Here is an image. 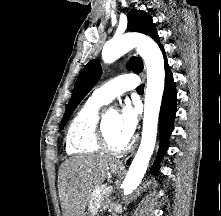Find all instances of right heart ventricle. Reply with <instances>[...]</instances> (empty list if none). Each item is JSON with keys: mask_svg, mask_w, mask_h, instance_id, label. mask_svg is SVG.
I'll return each mask as SVG.
<instances>
[{"mask_svg": "<svg viewBox=\"0 0 221 216\" xmlns=\"http://www.w3.org/2000/svg\"><path fill=\"white\" fill-rule=\"evenodd\" d=\"M103 103L90 98L77 112L66 133L69 154H94L101 150L98 141L99 109Z\"/></svg>", "mask_w": 221, "mask_h": 216, "instance_id": "1", "label": "right heart ventricle"}]
</instances>
